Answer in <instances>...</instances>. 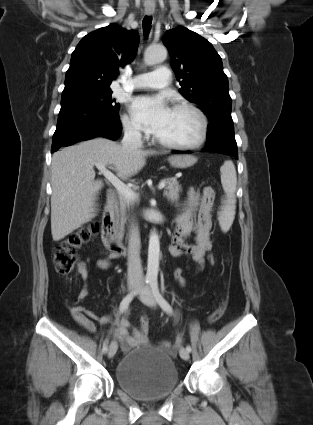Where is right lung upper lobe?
Wrapping results in <instances>:
<instances>
[{
  "instance_id": "obj_1",
  "label": "right lung upper lobe",
  "mask_w": 313,
  "mask_h": 425,
  "mask_svg": "<svg viewBox=\"0 0 313 425\" xmlns=\"http://www.w3.org/2000/svg\"><path fill=\"white\" fill-rule=\"evenodd\" d=\"M138 45L136 31L115 23L87 34L72 53L62 93L110 88L118 68L134 60Z\"/></svg>"
}]
</instances>
